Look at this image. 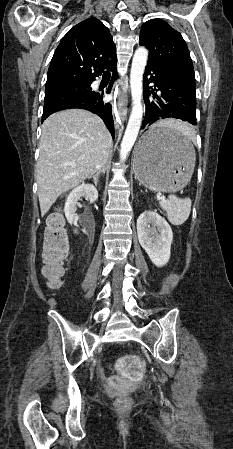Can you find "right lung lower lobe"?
<instances>
[{"instance_id":"right-lung-lower-lobe-1","label":"right lung lower lobe","mask_w":233,"mask_h":449,"mask_svg":"<svg viewBox=\"0 0 233 449\" xmlns=\"http://www.w3.org/2000/svg\"><path fill=\"white\" fill-rule=\"evenodd\" d=\"M109 69L113 72V75H112V79L109 84V87L107 88L106 93H110L112 85H113L115 79L117 78L116 63L113 64ZM103 94L104 93H95L94 92L93 94H90L89 97H87V98L70 101V102L58 105L54 108L44 110L43 115H42V122L49 115H51L57 111H60V110L72 109V108L85 109V110L91 111V112L97 114L99 117H101L102 120L106 123L109 131L111 132L112 137L114 138V134H115L114 130H113L114 121H113L112 112H111V105L109 103L103 102Z\"/></svg>"}]
</instances>
